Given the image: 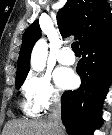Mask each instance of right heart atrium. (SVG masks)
Here are the masks:
<instances>
[{
    "label": "right heart atrium",
    "instance_id": "1",
    "mask_svg": "<svg viewBox=\"0 0 112 135\" xmlns=\"http://www.w3.org/2000/svg\"><path fill=\"white\" fill-rule=\"evenodd\" d=\"M22 92L27 106L35 113L45 112L58 105L61 100L60 91L47 75L29 74L23 84Z\"/></svg>",
    "mask_w": 112,
    "mask_h": 135
}]
</instances>
